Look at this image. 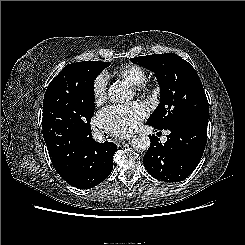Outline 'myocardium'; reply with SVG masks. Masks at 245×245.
I'll list each match as a JSON object with an SVG mask.
<instances>
[{"instance_id": "f54148a6", "label": "myocardium", "mask_w": 245, "mask_h": 245, "mask_svg": "<svg viewBox=\"0 0 245 245\" xmlns=\"http://www.w3.org/2000/svg\"><path fill=\"white\" fill-rule=\"evenodd\" d=\"M137 90L141 92H150L153 90V85L150 82L143 81L137 85Z\"/></svg>"}]
</instances>
